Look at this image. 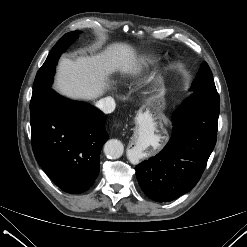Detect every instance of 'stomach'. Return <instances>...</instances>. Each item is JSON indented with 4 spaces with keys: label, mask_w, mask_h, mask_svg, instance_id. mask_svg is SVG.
I'll use <instances>...</instances> for the list:
<instances>
[{
    "label": "stomach",
    "mask_w": 247,
    "mask_h": 247,
    "mask_svg": "<svg viewBox=\"0 0 247 247\" xmlns=\"http://www.w3.org/2000/svg\"><path fill=\"white\" fill-rule=\"evenodd\" d=\"M165 106L164 98L160 97L145 104L137 116V125H149L152 122H161L164 119L163 109Z\"/></svg>",
    "instance_id": "stomach-1"
}]
</instances>
